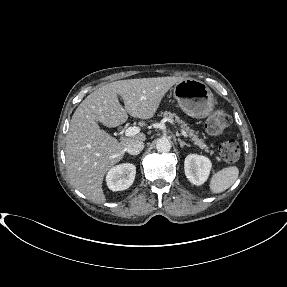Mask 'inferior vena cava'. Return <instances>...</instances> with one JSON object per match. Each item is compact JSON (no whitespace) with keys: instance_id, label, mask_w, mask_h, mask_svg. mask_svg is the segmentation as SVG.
Returning <instances> with one entry per match:
<instances>
[{"instance_id":"1","label":"inferior vena cava","mask_w":287,"mask_h":287,"mask_svg":"<svg viewBox=\"0 0 287 287\" xmlns=\"http://www.w3.org/2000/svg\"><path fill=\"white\" fill-rule=\"evenodd\" d=\"M144 148V143L141 140H132L126 147V151L131 155L139 154Z\"/></svg>"}]
</instances>
